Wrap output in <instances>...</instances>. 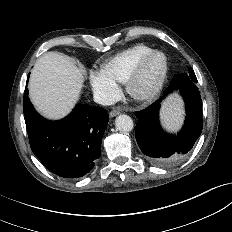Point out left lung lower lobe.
Wrapping results in <instances>:
<instances>
[{
    "label": "left lung lower lobe",
    "mask_w": 232,
    "mask_h": 232,
    "mask_svg": "<svg viewBox=\"0 0 232 232\" xmlns=\"http://www.w3.org/2000/svg\"><path fill=\"white\" fill-rule=\"evenodd\" d=\"M175 90L182 94L186 107L185 123L177 135L164 132L159 122L160 103ZM135 114L138 117L135 127L137 143L146 159L156 166L169 167L182 161L202 132L200 91L196 83L184 81L179 74L175 75L163 97Z\"/></svg>",
    "instance_id": "obj_1"
}]
</instances>
